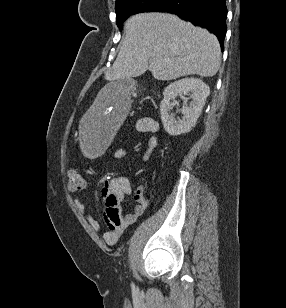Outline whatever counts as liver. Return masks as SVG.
I'll use <instances>...</instances> for the list:
<instances>
[{"label": "liver", "instance_id": "obj_1", "mask_svg": "<svg viewBox=\"0 0 286 308\" xmlns=\"http://www.w3.org/2000/svg\"><path fill=\"white\" fill-rule=\"evenodd\" d=\"M125 39L105 78L138 77L149 70L157 80L187 75L214 76L220 67V45L206 29L167 13H141L125 24Z\"/></svg>", "mask_w": 286, "mask_h": 308}]
</instances>
